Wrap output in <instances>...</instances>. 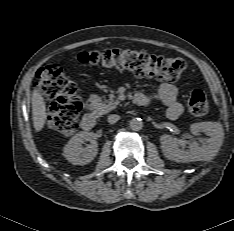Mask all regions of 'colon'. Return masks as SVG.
<instances>
[{
	"mask_svg": "<svg viewBox=\"0 0 234 231\" xmlns=\"http://www.w3.org/2000/svg\"><path fill=\"white\" fill-rule=\"evenodd\" d=\"M77 61L80 65L129 70L137 77L167 82L179 80L186 68L182 58L119 49L83 52ZM36 86L44 97L53 101L46 120L47 126L64 136L73 135L81 111L76 84L63 74L60 67L48 65L38 71ZM208 109L206 94L200 89L193 90L187 101V112L198 118L206 115Z\"/></svg>",
	"mask_w": 234,
	"mask_h": 231,
	"instance_id": "5ec220e1",
	"label": "colon"
}]
</instances>
